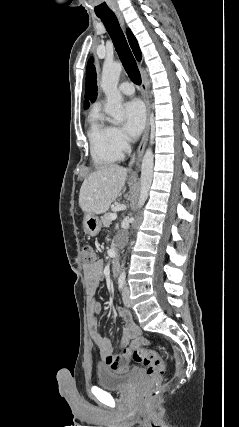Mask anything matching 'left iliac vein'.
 Masks as SVG:
<instances>
[{
	"mask_svg": "<svg viewBox=\"0 0 239 427\" xmlns=\"http://www.w3.org/2000/svg\"><path fill=\"white\" fill-rule=\"evenodd\" d=\"M129 296H130L129 288H128V286H125L124 290H123L122 298H123L124 305L127 307H130V305H131Z\"/></svg>",
	"mask_w": 239,
	"mask_h": 427,
	"instance_id": "left-iliac-vein-1",
	"label": "left iliac vein"
}]
</instances>
